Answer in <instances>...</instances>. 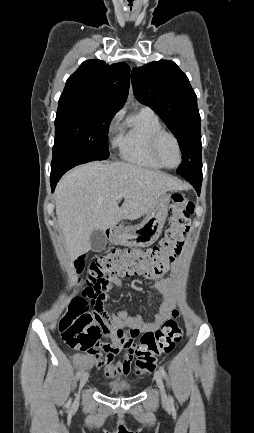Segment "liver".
I'll return each mask as SVG.
<instances>
[{"mask_svg": "<svg viewBox=\"0 0 254 433\" xmlns=\"http://www.w3.org/2000/svg\"><path fill=\"white\" fill-rule=\"evenodd\" d=\"M181 184L173 177L127 162H91L76 167L58 183L56 214L71 259L91 250L93 230L105 231L122 219L146 214L167 191ZM124 202L119 207L120 194Z\"/></svg>", "mask_w": 254, "mask_h": 433, "instance_id": "6515ba94", "label": "liver"}]
</instances>
